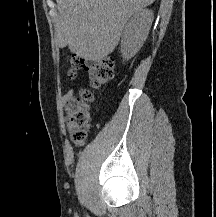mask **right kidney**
I'll list each match as a JSON object with an SVG mask.
<instances>
[{
  "label": "right kidney",
  "instance_id": "1",
  "mask_svg": "<svg viewBox=\"0 0 216 217\" xmlns=\"http://www.w3.org/2000/svg\"><path fill=\"white\" fill-rule=\"evenodd\" d=\"M152 21L153 11L149 9H142L133 15L122 34L121 53L123 58L133 57L143 46Z\"/></svg>",
  "mask_w": 216,
  "mask_h": 217
}]
</instances>
